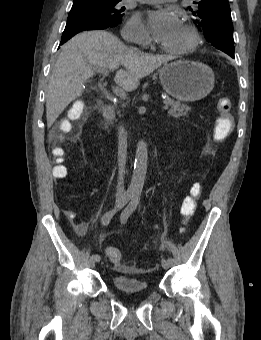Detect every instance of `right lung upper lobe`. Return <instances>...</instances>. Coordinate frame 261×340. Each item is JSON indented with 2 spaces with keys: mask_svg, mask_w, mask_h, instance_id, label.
<instances>
[{
  "mask_svg": "<svg viewBox=\"0 0 261 340\" xmlns=\"http://www.w3.org/2000/svg\"><path fill=\"white\" fill-rule=\"evenodd\" d=\"M80 1H88V0H74V2H80ZM98 1H105V0H98Z\"/></svg>",
  "mask_w": 261,
  "mask_h": 340,
  "instance_id": "right-lung-upper-lobe-1",
  "label": "right lung upper lobe"
}]
</instances>
